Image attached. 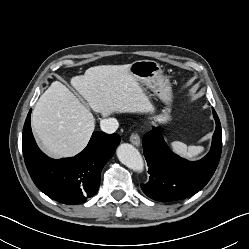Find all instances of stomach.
I'll return each mask as SVG.
<instances>
[{"label": "stomach", "mask_w": 249, "mask_h": 249, "mask_svg": "<svg viewBox=\"0 0 249 249\" xmlns=\"http://www.w3.org/2000/svg\"><path fill=\"white\" fill-rule=\"evenodd\" d=\"M129 72L146 88L150 89L159 99L166 104L172 100V88L169 80L162 75V70L156 61L137 60L128 65ZM170 108L163 109L162 113L155 117L159 123H167L170 120Z\"/></svg>", "instance_id": "stomach-1"}]
</instances>
